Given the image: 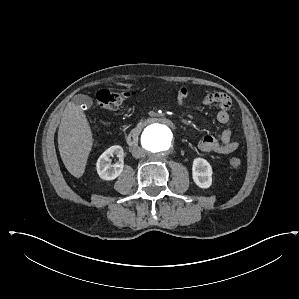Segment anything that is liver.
Returning a JSON list of instances; mask_svg holds the SVG:
<instances>
[{
  "instance_id": "obj_1",
  "label": "liver",
  "mask_w": 299,
  "mask_h": 299,
  "mask_svg": "<svg viewBox=\"0 0 299 299\" xmlns=\"http://www.w3.org/2000/svg\"><path fill=\"white\" fill-rule=\"evenodd\" d=\"M93 146V133L83 110L69 102L58 131L61 159L71 175L82 177Z\"/></svg>"
}]
</instances>
